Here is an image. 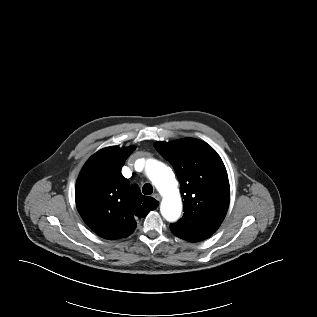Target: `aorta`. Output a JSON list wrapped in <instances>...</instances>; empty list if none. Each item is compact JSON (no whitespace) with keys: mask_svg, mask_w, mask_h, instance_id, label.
Segmentation results:
<instances>
[{"mask_svg":"<svg viewBox=\"0 0 317 317\" xmlns=\"http://www.w3.org/2000/svg\"><path fill=\"white\" fill-rule=\"evenodd\" d=\"M144 162L145 176L152 181L163 197L160 205L163 218L169 222L176 221L181 215L182 201L172 169L155 158H146Z\"/></svg>","mask_w":317,"mask_h":317,"instance_id":"obj_1","label":"aorta"}]
</instances>
